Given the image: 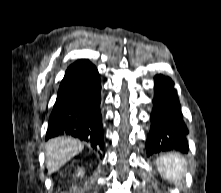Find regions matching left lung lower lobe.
Listing matches in <instances>:
<instances>
[{
    "instance_id": "left-lung-lower-lobe-1",
    "label": "left lung lower lobe",
    "mask_w": 221,
    "mask_h": 193,
    "mask_svg": "<svg viewBox=\"0 0 221 193\" xmlns=\"http://www.w3.org/2000/svg\"><path fill=\"white\" fill-rule=\"evenodd\" d=\"M153 111L150 116L151 129L147 136L146 153L151 155L166 148L188 152L189 133L183 121L181 105L173 82L169 77L155 76Z\"/></svg>"
}]
</instances>
